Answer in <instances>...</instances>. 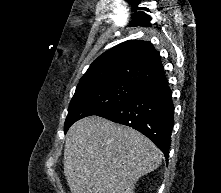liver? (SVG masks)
Segmentation results:
<instances>
[{
    "label": "liver",
    "mask_w": 221,
    "mask_h": 193,
    "mask_svg": "<svg viewBox=\"0 0 221 193\" xmlns=\"http://www.w3.org/2000/svg\"><path fill=\"white\" fill-rule=\"evenodd\" d=\"M161 161L146 136L99 116L78 120L66 134L64 173L71 193H134L138 179Z\"/></svg>",
    "instance_id": "obj_1"
}]
</instances>
